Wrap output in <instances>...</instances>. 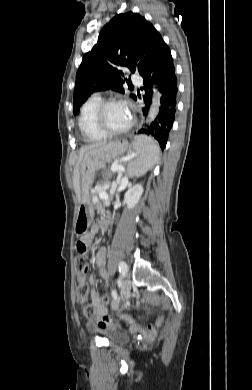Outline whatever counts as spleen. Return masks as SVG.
I'll list each match as a JSON object with an SVG mask.
<instances>
[{
    "instance_id": "spleen-1",
    "label": "spleen",
    "mask_w": 252,
    "mask_h": 390,
    "mask_svg": "<svg viewBox=\"0 0 252 390\" xmlns=\"http://www.w3.org/2000/svg\"><path fill=\"white\" fill-rule=\"evenodd\" d=\"M136 158L128 164L129 177H139L150 170L159 160L160 151L157 142L147 136H140L133 145Z\"/></svg>"
}]
</instances>
